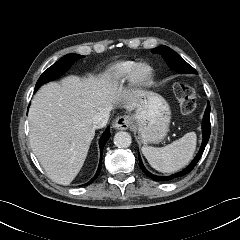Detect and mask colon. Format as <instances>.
<instances>
[{
  "instance_id": "5ec220e1",
  "label": "colon",
  "mask_w": 240,
  "mask_h": 240,
  "mask_svg": "<svg viewBox=\"0 0 240 240\" xmlns=\"http://www.w3.org/2000/svg\"><path fill=\"white\" fill-rule=\"evenodd\" d=\"M173 91L180 101L183 113L186 115L194 114L197 107V97L194 88L189 84L178 82L174 84Z\"/></svg>"
}]
</instances>
